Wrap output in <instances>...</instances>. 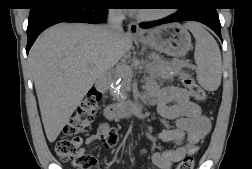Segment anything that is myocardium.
Segmentation results:
<instances>
[{
    "mask_svg": "<svg viewBox=\"0 0 252 169\" xmlns=\"http://www.w3.org/2000/svg\"><path fill=\"white\" fill-rule=\"evenodd\" d=\"M166 14L165 11H159V12H154V13H147V12H137V17L141 20L144 21H151V20H156L164 17Z\"/></svg>",
    "mask_w": 252,
    "mask_h": 169,
    "instance_id": "myocardium-1",
    "label": "myocardium"
}]
</instances>
